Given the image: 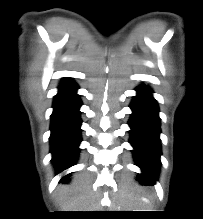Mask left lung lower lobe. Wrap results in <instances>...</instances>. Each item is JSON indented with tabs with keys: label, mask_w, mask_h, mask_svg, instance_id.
<instances>
[{
	"label": "left lung lower lobe",
	"mask_w": 203,
	"mask_h": 219,
	"mask_svg": "<svg viewBox=\"0 0 203 219\" xmlns=\"http://www.w3.org/2000/svg\"><path fill=\"white\" fill-rule=\"evenodd\" d=\"M136 91L137 95L130 104V144L134 148L136 164L143 172L139 175L140 181L152 183L157 179L161 164L159 109L150 88L140 86Z\"/></svg>",
	"instance_id": "left-lung-lower-lobe-1"
}]
</instances>
